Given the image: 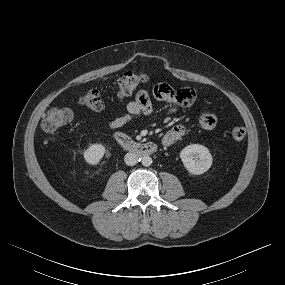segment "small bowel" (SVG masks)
Instances as JSON below:
<instances>
[{"instance_id": "obj_1", "label": "small bowel", "mask_w": 285, "mask_h": 285, "mask_svg": "<svg viewBox=\"0 0 285 285\" xmlns=\"http://www.w3.org/2000/svg\"><path fill=\"white\" fill-rule=\"evenodd\" d=\"M195 97L194 90L190 88L173 91L168 84L157 83L152 87L151 93L146 90H140L135 98L127 103L125 113L109 121L108 127L111 130H116L125 126L139 115L150 114L153 111L152 100L161 105L169 101H176L183 106H191L195 101ZM197 121L206 130L214 129L217 125L216 116L209 111L200 113ZM185 132L186 128L183 125H176L164 134L162 142L165 146H171L178 142Z\"/></svg>"}]
</instances>
